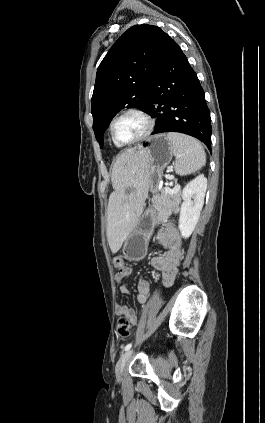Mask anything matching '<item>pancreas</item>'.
<instances>
[{
    "label": "pancreas",
    "instance_id": "pancreas-1",
    "mask_svg": "<svg viewBox=\"0 0 265 423\" xmlns=\"http://www.w3.org/2000/svg\"><path fill=\"white\" fill-rule=\"evenodd\" d=\"M180 204V191L171 193L166 190H162L160 194L156 196V204L154 205L157 211V221L163 222L173 212H177Z\"/></svg>",
    "mask_w": 265,
    "mask_h": 423
}]
</instances>
